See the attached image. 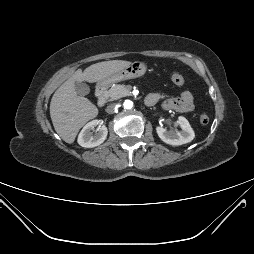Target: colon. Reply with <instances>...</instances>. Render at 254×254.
I'll return each mask as SVG.
<instances>
[{
    "label": "colon",
    "mask_w": 254,
    "mask_h": 254,
    "mask_svg": "<svg viewBox=\"0 0 254 254\" xmlns=\"http://www.w3.org/2000/svg\"><path fill=\"white\" fill-rule=\"evenodd\" d=\"M171 81L176 85H183L185 83V77L180 73H173L171 75ZM199 121L202 124H207L209 122V116L205 113L199 115Z\"/></svg>",
    "instance_id": "5ec220e1"
}]
</instances>
